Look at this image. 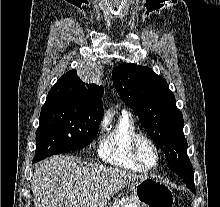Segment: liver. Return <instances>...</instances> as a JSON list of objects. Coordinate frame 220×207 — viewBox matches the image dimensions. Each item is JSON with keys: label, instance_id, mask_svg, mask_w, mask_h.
<instances>
[{"label": "liver", "instance_id": "obj_1", "mask_svg": "<svg viewBox=\"0 0 220 207\" xmlns=\"http://www.w3.org/2000/svg\"><path fill=\"white\" fill-rule=\"evenodd\" d=\"M143 176L71 156H52L36 166L31 181L35 207H106L111 197Z\"/></svg>", "mask_w": 220, "mask_h": 207}]
</instances>
